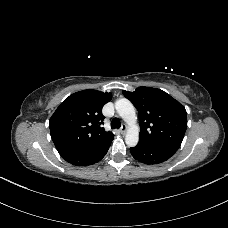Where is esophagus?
Masks as SVG:
<instances>
[{"instance_id":"34e87169","label":"esophagus","mask_w":228,"mask_h":228,"mask_svg":"<svg viewBox=\"0 0 228 228\" xmlns=\"http://www.w3.org/2000/svg\"><path fill=\"white\" fill-rule=\"evenodd\" d=\"M127 130V125L123 124L122 127L120 128L119 132L124 135L126 133Z\"/></svg>"}]
</instances>
